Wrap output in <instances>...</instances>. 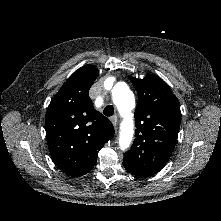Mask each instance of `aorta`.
<instances>
[{
    "mask_svg": "<svg viewBox=\"0 0 221 221\" xmlns=\"http://www.w3.org/2000/svg\"><path fill=\"white\" fill-rule=\"evenodd\" d=\"M114 101L118 105L119 109L122 111H127L134 106V94L129 89L128 86L124 85L121 89H117L114 92ZM131 140V133L126 134L121 139L122 149L126 148Z\"/></svg>",
    "mask_w": 221,
    "mask_h": 221,
    "instance_id": "1",
    "label": "aorta"
}]
</instances>
